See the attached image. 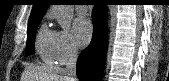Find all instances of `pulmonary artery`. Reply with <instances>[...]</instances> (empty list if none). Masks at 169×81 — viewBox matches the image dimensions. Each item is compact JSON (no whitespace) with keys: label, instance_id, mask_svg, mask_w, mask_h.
Listing matches in <instances>:
<instances>
[{"label":"pulmonary artery","instance_id":"1","mask_svg":"<svg viewBox=\"0 0 169 81\" xmlns=\"http://www.w3.org/2000/svg\"><path fill=\"white\" fill-rule=\"evenodd\" d=\"M78 11H79V13H85V7L84 6H79L78 7Z\"/></svg>","mask_w":169,"mask_h":81}]
</instances>
